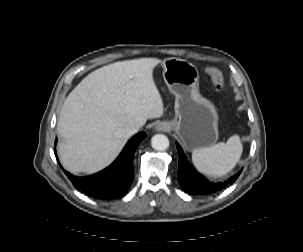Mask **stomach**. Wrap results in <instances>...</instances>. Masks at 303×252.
Listing matches in <instances>:
<instances>
[{
    "label": "stomach",
    "instance_id": "1",
    "mask_svg": "<svg viewBox=\"0 0 303 252\" xmlns=\"http://www.w3.org/2000/svg\"><path fill=\"white\" fill-rule=\"evenodd\" d=\"M163 79L175 96V118L166 122L188 151L212 146L218 140V114L199 93V72L194 64L179 58L161 62Z\"/></svg>",
    "mask_w": 303,
    "mask_h": 252
}]
</instances>
